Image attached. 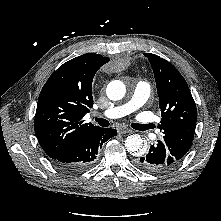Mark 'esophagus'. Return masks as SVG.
<instances>
[{
  "instance_id": "esophagus-1",
  "label": "esophagus",
  "mask_w": 221,
  "mask_h": 221,
  "mask_svg": "<svg viewBox=\"0 0 221 221\" xmlns=\"http://www.w3.org/2000/svg\"><path fill=\"white\" fill-rule=\"evenodd\" d=\"M118 132L120 133V134H127V133H130V132H132L129 128H127V127H120L119 129H118Z\"/></svg>"
}]
</instances>
